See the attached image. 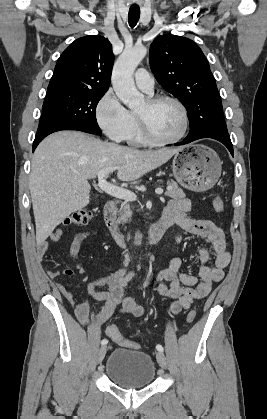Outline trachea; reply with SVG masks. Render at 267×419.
I'll list each match as a JSON object with an SVG mask.
<instances>
[{"label":"trachea","mask_w":267,"mask_h":419,"mask_svg":"<svg viewBox=\"0 0 267 419\" xmlns=\"http://www.w3.org/2000/svg\"><path fill=\"white\" fill-rule=\"evenodd\" d=\"M140 18V8L138 6L136 7H130L129 13H128V22L131 28L135 27L137 22Z\"/></svg>","instance_id":"obj_1"}]
</instances>
